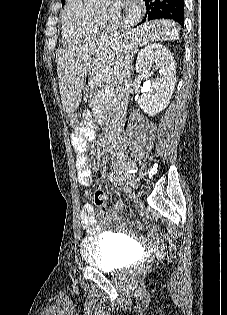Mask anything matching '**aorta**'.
<instances>
[{"instance_id":"1","label":"aorta","mask_w":227,"mask_h":315,"mask_svg":"<svg viewBox=\"0 0 227 315\" xmlns=\"http://www.w3.org/2000/svg\"><path fill=\"white\" fill-rule=\"evenodd\" d=\"M88 4H96V5H101L106 3L107 0H84Z\"/></svg>"}]
</instances>
